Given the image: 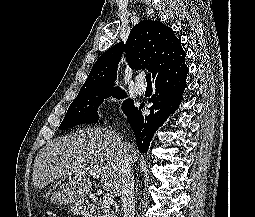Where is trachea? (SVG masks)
<instances>
[{
  "mask_svg": "<svg viewBox=\"0 0 255 217\" xmlns=\"http://www.w3.org/2000/svg\"><path fill=\"white\" fill-rule=\"evenodd\" d=\"M145 78H146L147 84H148V85H151V84H152V81H151V74H147Z\"/></svg>",
  "mask_w": 255,
  "mask_h": 217,
  "instance_id": "1",
  "label": "trachea"
}]
</instances>
